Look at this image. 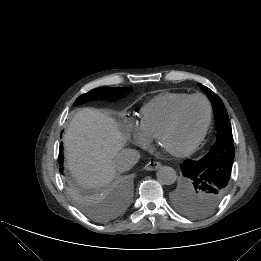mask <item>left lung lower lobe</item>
<instances>
[{
  "label": "left lung lower lobe",
  "instance_id": "1",
  "mask_svg": "<svg viewBox=\"0 0 261 261\" xmlns=\"http://www.w3.org/2000/svg\"><path fill=\"white\" fill-rule=\"evenodd\" d=\"M180 167L182 169V174L186 178L193 179L202 173V171L200 170V167L194 161L189 160V159L184 161Z\"/></svg>",
  "mask_w": 261,
  "mask_h": 261
}]
</instances>
